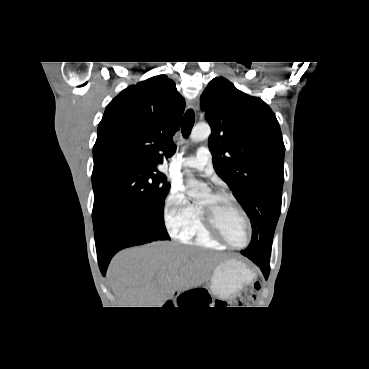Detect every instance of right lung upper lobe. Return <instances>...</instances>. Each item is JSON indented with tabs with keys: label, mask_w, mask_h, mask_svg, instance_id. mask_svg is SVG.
I'll use <instances>...</instances> for the list:
<instances>
[{
	"label": "right lung upper lobe",
	"mask_w": 369,
	"mask_h": 369,
	"mask_svg": "<svg viewBox=\"0 0 369 369\" xmlns=\"http://www.w3.org/2000/svg\"><path fill=\"white\" fill-rule=\"evenodd\" d=\"M184 109V98L166 75L124 89L99 123L94 166L128 164L158 171L157 164L175 153L173 135Z\"/></svg>",
	"instance_id": "cb5924a9"
}]
</instances>
